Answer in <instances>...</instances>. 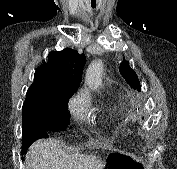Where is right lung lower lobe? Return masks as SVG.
<instances>
[{
    "label": "right lung lower lobe",
    "mask_w": 177,
    "mask_h": 169,
    "mask_svg": "<svg viewBox=\"0 0 177 169\" xmlns=\"http://www.w3.org/2000/svg\"><path fill=\"white\" fill-rule=\"evenodd\" d=\"M23 137H22V152L26 150L34 141L40 138H46L48 136L46 130H40L33 127H22Z\"/></svg>",
    "instance_id": "1"
}]
</instances>
